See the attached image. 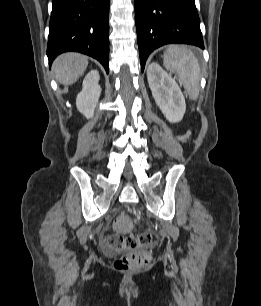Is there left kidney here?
Listing matches in <instances>:
<instances>
[{
    "label": "left kidney",
    "instance_id": "1",
    "mask_svg": "<svg viewBox=\"0 0 261 306\" xmlns=\"http://www.w3.org/2000/svg\"><path fill=\"white\" fill-rule=\"evenodd\" d=\"M147 78L152 96L166 119L170 123L181 121L186 103L176 81L155 62L148 65Z\"/></svg>",
    "mask_w": 261,
    "mask_h": 306
}]
</instances>
